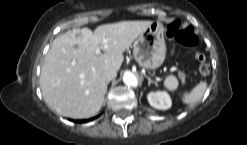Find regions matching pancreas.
Masks as SVG:
<instances>
[{
  "label": "pancreas",
  "mask_w": 247,
  "mask_h": 145,
  "mask_svg": "<svg viewBox=\"0 0 247 145\" xmlns=\"http://www.w3.org/2000/svg\"><path fill=\"white\" fill-rule=\"evenodd\" d=\"M179 77L182 79V80H184L185 79V74L184 73H179Z\"/></svg>",
  "instance_id": "pancreas-1"
}]
</instances>
